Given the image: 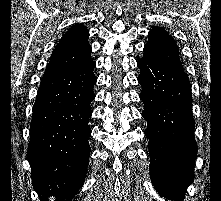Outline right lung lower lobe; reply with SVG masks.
Instances as JSON below:
<instances>
[{
  "label": "right lung lower lobe",
  "instance_id": "obj_1",
  "mask_svg": "<svg viewBox=\"0 0 221 201\" xmlns=\"http://www.w3.org/2000/svg\"><path fill=\"white\" fill-rule=\"evenodd\" d=\"M95 62L81 68H47L37 91L27 159L42 201H71L85 180L94 100Z\"/></svg>",
  "mask_w": 221,
  "mask_h": 201
}]
</instances>
